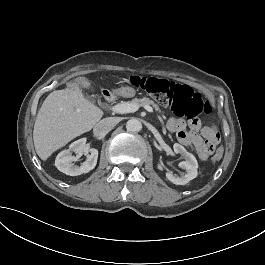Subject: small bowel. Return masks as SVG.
I'll return each mask as SVG.
<instances>
[{
  "mask_svg": "<svg viewBox=\"0 0 265 265\" xmlns=\"http://www.w3.org/2000/svg\"><path fill=\"white\" fill-rule=\"evenodd\" d=\"M167 129L176 135L180 144L191 147L199 160L206 161L220 142V134L213 126H202L198 120L186 122L183 118L171 117Z\"/></svg>",
  "mask_w": 265,
  "mask_h": 265,
  "instance_id": "1",
  "label": "small bowel"
}]
</instances>
